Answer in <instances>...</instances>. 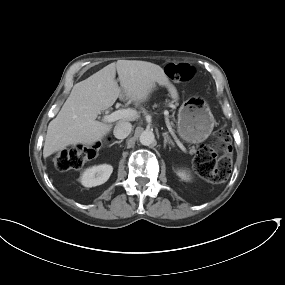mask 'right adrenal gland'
I'll return each mask as SVG.
<instances>
[{
	"label": "right adrenal gland",
	"instance_id": "right-adrenal-gland-1",
	"mask_svg": "<svg viewBox=\"0 0 285 285\" xmlns=\"http://www.w3.org/2000/svg\"><path fill=\"white\" fill-rule=\"evenodd\" d=\"M123 140H119V141H114L110 146L114 145V144H120L122 143Z\"/></svg>",
	"mask_w": 285,
	"mask_h": 285
}]
</instances>
